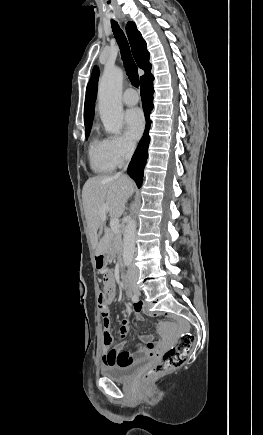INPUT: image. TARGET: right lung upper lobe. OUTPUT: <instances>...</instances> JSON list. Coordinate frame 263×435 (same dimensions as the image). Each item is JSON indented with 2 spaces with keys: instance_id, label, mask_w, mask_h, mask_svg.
<instances>
[{
  "instance_id": "obj_1",
  "label": "right lung upper lobe",
  "mask_w": 263,
  "mask_h": 435,
  "mask_svg": "<svg viewBox=\"0 0 263 435\" xmlns=\"http://www.w3.org/2000/svg\"><path fill=\"white\" fill-rule=\"evenodd\" d=\"M126 32L132 48V54L139 68L145 71V74L141 76V81L150 75L152 65L149 62L150 54L147 51V45L142 38L141 33L137 30L135 23L128 22L126 26ZM99 70L94 68L91 81L88 85L86 92V100L84 105V123L85 131L90 130L94 117V104L97 96Z\"/></svg>"
}]
</instances>
